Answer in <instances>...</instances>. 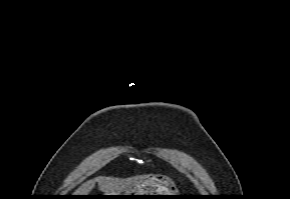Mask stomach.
I'll list each match as a JSON object with an SVG mask.
<instances>
[{
	"instance_id": "obj_1",
	"label": "stomach",
	"mask_w": 290,
	"mask_h": 199,
	"mask_svg": "<svg viewBox=\"0 0 290 199\" xmlns=\"http://www.w3.org/2000/svg\"><path fill=\"white\" fill-rule=\"evenodd\" d=\"M110 195H175L168 184L155 178L141 180L124 193ZM116 199H153L170 196H115Z\"/></svg>"
}]
</instances>
